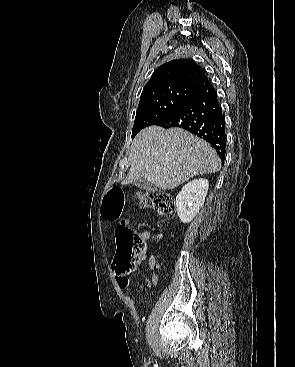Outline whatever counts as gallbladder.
Listing matches in <instances>:
<instances>
[{"label":"gallbladder","instance_id":"gallbladder-1","mask_svg":"<svg viewBox=\"0 0 295 367\" xmlns=\"http://www.w3.org/2000/svg\"><path fill=\"white\" fill-rule=\"evenodd\" d=\"M136 187L143 190H149L152 187V183L145 180V179H139L135 182Z\"/></svg>","mask_w":295,"mask_h":367}]
</instances>
